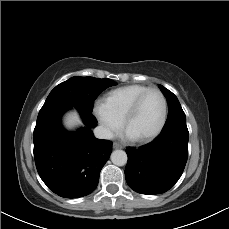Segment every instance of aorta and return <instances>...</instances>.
<instances>
[{"label": "aorta", "mask_w": 229, "mask_h": 229, "mask_svg": "<svg viewBox=\"0 0 229 229\" xmlns=\"http://www.w3.org/2000/svg\"><path fill=\"white\" fill-rule=\"evenodd\" d=\"M111 161L117 166H124L127 163V154L123 150H115L111 154Z\"/></svg>", "instance_id": "aorta-1"}]
</instances>
